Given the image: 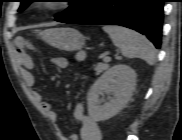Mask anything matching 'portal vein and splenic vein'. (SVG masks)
Wrapping results in <instances>:
<instances>
[{
    "mask_svg": "<svg viewBox=\"0 0 182 140\" xmlns=\"http://www.w3.org/2000/svg\"><path fill=\"white\" fill-rule=\"evenodd\" d=\"M103 60H104L105 62H109V61L111 60V58H110L109 56H105V57H103Z\"/></svg>",
    "mask_w": 182,
    "mask_h": 140,
    "instance_id": "18ae733b",
    "label": "portal vein and splenic vein"
}]
</instances>
